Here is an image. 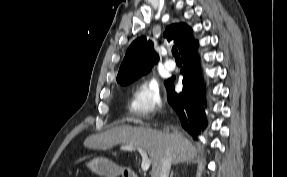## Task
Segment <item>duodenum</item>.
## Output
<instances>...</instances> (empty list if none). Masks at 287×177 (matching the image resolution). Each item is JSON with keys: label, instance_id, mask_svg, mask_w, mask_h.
I'll list each match as a JSON object with an SVG mask.
<instances>
[{"label": "duodenum", "instance_id": "410a0bca", "mask_svg": "<svg viewBox=\"0 0 287 177\" xmlns=\"http://www.w3.org/2000/svg\"><path fill=\"white\" fill-rule=\"evenodd\" d=\"M124 177H136V176L133 175L132 173L128 172L127 174H124Z\"/></svg>", "mask_w": 287, "mask_h": 177}]
</instances>
